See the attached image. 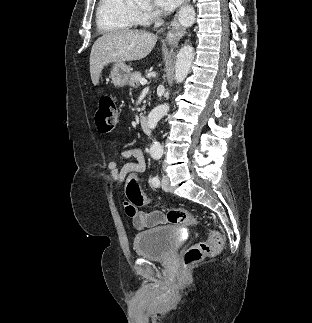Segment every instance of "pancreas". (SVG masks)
Wrapping results in <instances>:
<instances>
[{
  "mask_svg": "<svg viewBox=\"0 0 312 323\" xmlns=\"http://www.w3.org/2000/svg\"><path fill=\"white\" fill-rule=\"evenodd\" d=\"M140 80H143L140 72H133V74H130V78L128 80L129 86H132V88H137ZM142 110H145V106H143Z\"/></svg>",
  "mask_w": 312,
  "mask_h": 323,
  "instance_id": "cf45deb5",
  "label": "pancreas"
}]
</instances>
